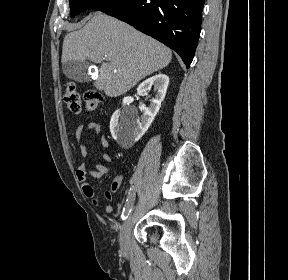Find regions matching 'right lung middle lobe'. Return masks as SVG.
I'll return each instance as SVG.
<instances>
[{"instance_id":"1","label":"right lung middle lobe","mask_w":288,"mask_h":280,"mask_svg":"<svg viewBox=\"0 0 288 280\" xmlns=\"http://www.w3.org/2000/svg\"><path fill=\"white\" fill-rule=\"evenodd\" d=\"M119 0H69L70 16L75 17L76 14L87 9H97L105 7Z\"/></svg>"}]
</instances>
